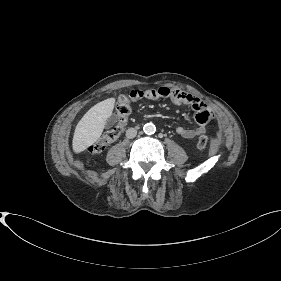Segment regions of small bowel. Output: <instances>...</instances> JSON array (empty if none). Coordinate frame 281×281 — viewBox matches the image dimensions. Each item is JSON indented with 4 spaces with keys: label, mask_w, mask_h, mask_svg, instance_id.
I'll list each match as a JSON object with an SVG mask.
<instances>
[{
    "label": "small bowel",
    "mask_w": 281,
    "mask_h": 281,
    "mask_svg": "<svg viewBox=\"0 0 281 281\" xmlns=\"http://www.w3.org/2000/svg\"><path fill=\"white\" fill-rule=\"evenodd\" d=\"M132 102L141 99L164 100L169 99L173 104L178 106H189L195 112V122L198 127L195 129L177 127L176 132L185 139H192L206 132V126L209 121L216 118L215 112L198 97L182 91L168 87L149 88L145 90H132L129 93Z\"/></svg>",
    "instance_id": "1"
}]
</instances>
